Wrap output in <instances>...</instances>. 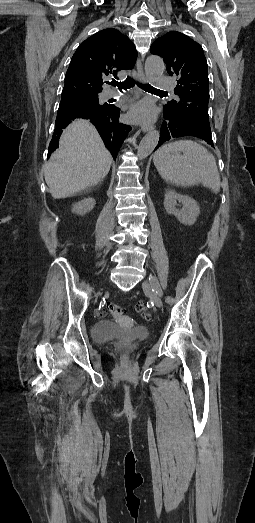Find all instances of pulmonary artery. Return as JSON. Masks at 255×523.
Wrapping results in <instances>:
<instances>
[{"label": "pulmonary artery", "mask_w": 255, "mask_h": 523, "mask_svg": "<svg viewBox=\"0 0 255 523\" xmlns=\"http://www.w3.org/2000/svg\"><path fill=\"white\" fill-rule=\"evenodd\" d=\"M156 80L159 82L157 85L158 90L160 91H170L172 93L170 95V98L172 100H175L177 98V95L173 93L174 89V81L171 78L162 77L161 75H158L156 77ZM106 95L108 98H116L122 95V92H120L116 88H109L106 91Z\"/></svg>", "instance_id": "e3ab8cb5"}]
</instances>
